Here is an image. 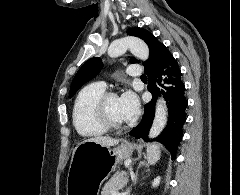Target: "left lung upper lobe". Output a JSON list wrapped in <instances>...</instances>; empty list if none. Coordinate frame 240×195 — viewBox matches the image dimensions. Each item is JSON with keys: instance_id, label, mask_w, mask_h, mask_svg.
Masks as SVG:
<instances>
[{"instance_id": "obj_1", "label": "left lung upper lobe", "mask_w": 240, "mask_h": 195, "mask_svg": "<svg viewBox=\"0 0 240 195\" xmlns=\"http://www.w3.org/2000/svg\"><path fill=\"white\" fill-rule=\"evenodd\" d=\"M127 33L131 36H137L141 38L149 47V59L144 63L146 74L154 70L163 60H165L171 54L165 45L159 42L153 34L143 28H130L127 30ZM130 62L139 63V61L134 57L130 58ZM102 67L103 63L101 58H91L86 61L79 69L72 81L70 87V97H72L83 84L99 74Z\"/></svg>"}]
</instances>
